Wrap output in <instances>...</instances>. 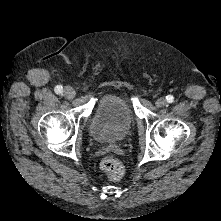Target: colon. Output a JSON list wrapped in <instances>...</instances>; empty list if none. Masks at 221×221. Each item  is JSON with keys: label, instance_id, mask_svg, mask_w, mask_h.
<instances>
[{"label": "colon", "instance_id": "5ec220e1", "mask_svg": "<svg viewBox=\"0 0 221 221\" xmlns=\"http://www.w3.org/2000/svg\"><path fill=\"white\" fill-rule=\"evenodd\" d=\"M100 167L114 181L120 180L125 172L123 163L114 157L104 158L100 163Z\"/></svg>", "mask_w": 221, "mask_h": 221}]
</instances>
